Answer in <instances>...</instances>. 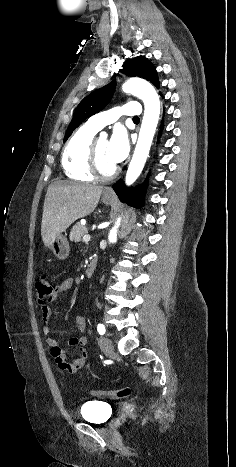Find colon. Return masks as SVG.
<instances>
[{
  "instance_id": "colon-1",
  "label": "colon",
  "mask_w": 236,
  "mask_h": 467,
  "mask_svg": "<svg viewBox=\"0 0 236 467\" xmlns=\"http://www.w3.org/2000/svg\"><path fill=\"white\" fill-rule=\"evenodd\" d=\"M36 292H37V300L39 303H44L48 299H50L53 293V286L50 279L43 275L41 276L35 284ZM132 393V389L130 387H124L122 389L116 391H109V392H95L94 394L99 397H106L110 399H122L129 397Z\"/></svg>"
}]
</instances>
